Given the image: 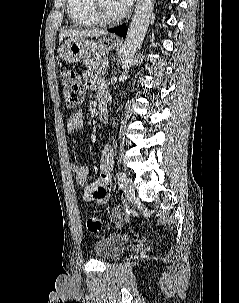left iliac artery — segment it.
I'll list each match as a JSON object with an SVG mask.
<instances>
[{
    "label": "left iliac artery",
    "mask_w": 239,
    "mask_h": 303,
    "mask_svg": "<svg viewBox=\"0 0 239 303\" xmlns=\"http://www.w3.org/2000/svg\"><path fill=\"white\" fill-rule=\"evenodd\" d=\"M117 178H118L119 189H122L124 187L126 175L123 172H119Z\"/></svg>",
    "instance_id": "obj_1"
}]
</instances>
